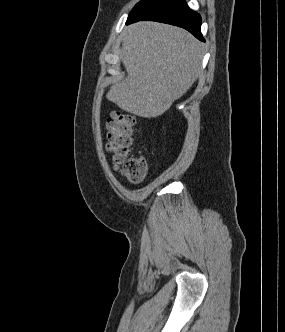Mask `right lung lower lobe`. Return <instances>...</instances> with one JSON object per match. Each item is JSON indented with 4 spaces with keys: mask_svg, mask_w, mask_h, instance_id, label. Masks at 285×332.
Masks as SVG:
<instances>
[{
    "mask_svg": "<svg viewBox=\"0 0 285 332\" xmlns=\"http://www.w3.org/2000/svg\"><path fill=\"white\" fill-rule=\"evenodd\" d=\"M140 20L163 22L182 27L204 41L201 34V17L187 6L185 0H149L131 14L126 24Z\"/></svg>",
    "mask_w": 285,
    "mask_h": 332,
    "instance_id": "98d812e1",
    "label": "right lung lower lobe"
}]
</instances>
